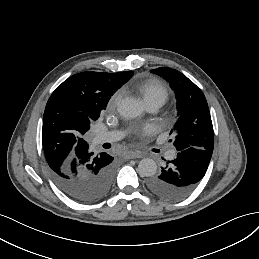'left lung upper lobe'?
<instances>
[{
  "mask_svg": "<svg viewBox=\"0 0 259 259\" xmlns=\"http://www.w3.org/2000/svg\"><path fill=\"white\" fill-rule=\"evenodd\" d=\"M151 72L166 79L175 91L178 118L170 134H176L173 140L176 149L179 151L194 147L213 151V125L203 92L175 69L160 67Z\"/></svg>",
  "mask_w": 259,
  "mask_h": 259,
  "instance_id": "5c2ea615",
  "label": "left lung upper lobe"
}]
</instances>
